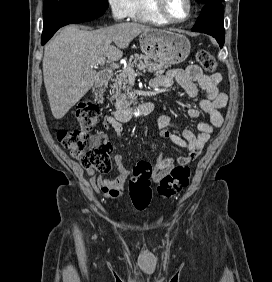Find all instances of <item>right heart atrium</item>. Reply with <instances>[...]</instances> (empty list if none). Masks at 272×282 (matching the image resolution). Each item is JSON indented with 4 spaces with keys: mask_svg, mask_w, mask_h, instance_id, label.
<instances>
[{
    "mask_svg": "<svg viewBox=\"0 0 272 282\" xmlns=\"http://www.w3.org/2000/svg\"><path fill=\"white\" fill-rule=\"evenodd\" d=\"M112 18L115 21L129 19L134 15V0H106Z\"/></svg>",
    "mask_w": 272,
    "mask_h": 282,
    "instance_id": "d8ad5b80",
    "label": "right heart atrium"
}]
</instances>
